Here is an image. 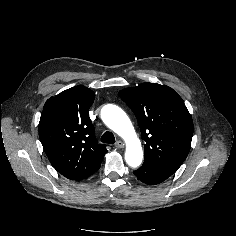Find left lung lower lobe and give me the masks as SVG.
<instances>
[{
	"mask_svg": "<svg viewBox=\"0 0 236 236\" xmlns=\"http://www.w3.org/2000/svg\"><path fill=\"white\" fill-rule=\"evenodd\" d=\"M134 174L140 181L148 185L159 184L171 176L156 170L152 164L147 162H144L138 170L134 171Z\"/></svg>",
	"mask_w": 236,
	"mask_h": 236,
	"instance_id": "obj_1",
	"label": "left lung lower lobe"
}]
</instances>
